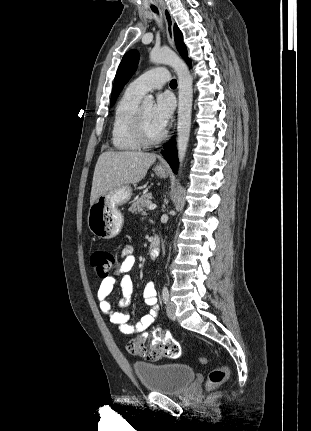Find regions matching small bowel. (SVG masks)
Wrapping results in <instances>:
<instances>
[{"mask_svg": "<svg viewBox=\"0 0 311 431\" xmlns=\"http://www.w3.org/2000/svg\"><path fill=\"white\" fill-rule=\"evenodd\" d=\"M134 264V253L130 247H126L120 256L117 267L110 276L102 280L97 292V299L101 311L108 315L110 321L116 324L119 330L126 335H130L135 332L143 333L156 321L159 315V306L157 304V293L154 281H148L143 290L144 301L150 308L146 315L142 316L138 320L130 321L129 314L121 310L129 304L133 293V282L128 273L132 270ZM118 278L121 279L120 287L122 298L118 302L119 309L114 310L110 303V296ZM142 337H149V334L143 333ZM166 337H170V335H164L160 327H155L151 332L152 339H163Z\"/></svg>", "mask_w": 311, "mask_h": 431, "instance_id": "obj_1", "label": "small bowel"}]
</instances>
